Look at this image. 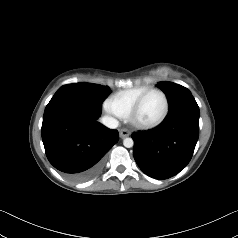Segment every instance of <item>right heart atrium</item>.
Segmentation results:
<instances>
[{"mask_svg":"<svg viewBox=\"0 0 238 238\" xmlns=\"http://www.w3.org/2000/svg\"><path fill=\"white\" fill-rule=\"evenodd\" d=\"M104 110L106 111V113H108L109 115L113 117H120L118 113L116 112V110L114 109L109 98L104 102Z\"/></svg>","mask_w":238,"mask_h":238,"instance_id":"d8ad5b80","label":"right heart atrium"}]
</instances>
